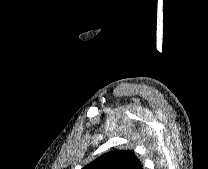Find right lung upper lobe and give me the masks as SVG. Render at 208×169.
<instances>
[{
    "mask_svg": "<svg viewBox=\"0 0 208 169\" xmlns=\"http://www.w3.org/2000/svg\"><path fill=\"white\" fill-rule=\"evenodd\" d=\"M82 169H143L140 161L130 150L109 151Z\"/></svg>",
    "mask_w": 208,
    "mask_h": 169,
    "instance_id": "cb5924a9",
    "label": "right lung upper lobe"
}]
</instances>
